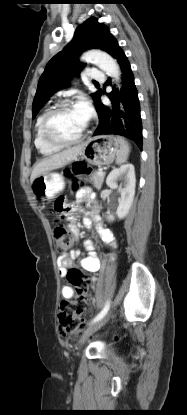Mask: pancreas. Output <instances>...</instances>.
I'll return each mask as SVG.
<instances>
[{
	"label": "pancreas",
	"instance_id": "pancreas-1",
	"mask_svg": "<svg viewBox=\"0 0 187 415\" xmlns=\"http://www.w3.org/2000/svg\"><path fill=\"white\" fill-rule=\"evenodd\" d=\"M105 173L102 175L98 174V171H94L90 174V180L93 182L94 186L99 190L104 182Z\"/></svg>",
	"mask_w": 187,
	"mask_h": 415
}]
</instances>
